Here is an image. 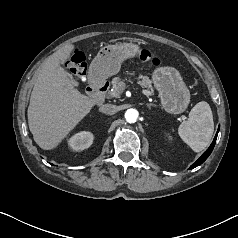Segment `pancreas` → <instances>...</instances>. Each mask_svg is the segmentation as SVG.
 I'll return each instance as SVG.
<instances>
[{"mask_svg":"<svg viewBox=\"0 0 238 238\" xmlns=\"http://www.w3.org/2000/svg\"><path fill=\"white\" fill-rule=\"evenodd\" d=\"M140 81L138 84L146 88L148 91H150L152 94L154 92L152 87V82L147 76L139 75ZM125 88V83L120 77H114L112 80V89L108 92L110 97H116L119 98L121 93L123 92Z\"/></svg>","mask_w":238,"mask_h":238,"instance_id":"cf45deb5","label":"pancreas"}]
</instances>
